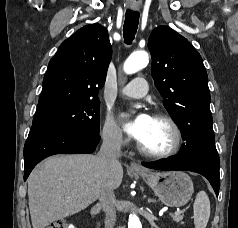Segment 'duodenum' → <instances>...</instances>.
Wrapping results in <instances>:
<instances>
[{"instance_id": "duodenum-1", "label": "duodenum", "mask_w": 238, "mask_h": 228, "mask_svg": "<svg viewBox=\"0 0 238 228\" xmlns=\"http://www.w3.org/2000/svg\"><path fill=\"white\" fill-rule=\"evenodd\" d=\"M100 210H101V207H100L99 205H96V206H94V207L92 208L91 214H92V215H96V214H98V213L100 212ZM121 228H124V227H121Z\"/></svg>"}]
</instances>
